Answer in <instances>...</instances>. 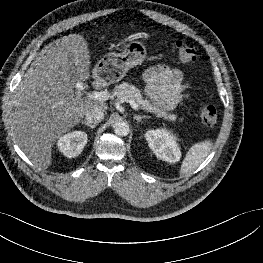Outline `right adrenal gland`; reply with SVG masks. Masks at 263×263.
I'll return each instance as SVG.
<instances>
[{
  "instance_id": "right-adrenal-gland-1",
  "label": "right adrenal gland",
  "mask_w": 263,
  "mask_h": 263,
  "mask_svg": "<svg viewBox=\"0 0 263 263\" xmlns=\"http://www.w3.org/2000/svg\"><path fill=\"white\" fill-rule=\"evenodd\" d=\"M81 123L84 124L85 126L92 128V129H94L96 126V124H91V123H88V122L83 121V120L81 121Z\"/></svg>"
}]
</instances>
